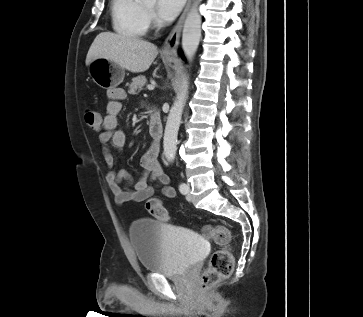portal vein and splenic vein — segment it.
I'll return each mask as SVG.
<instances>
[{"instance_id":"1","label":"portal vein and splenic vein","mask_w":363,"mask_h":317,"mask_svg":"<svg viewBox=\"0 0 363 317\" xmlns=\"http://www.w3.org/2000/svg\"><path fill=\"white\" fill-rule=\"evenodd\" d=\"M147 89H148V90H153V89H154V86H153V85H148V86H147Z\"/></svg>"}]
</instances>
